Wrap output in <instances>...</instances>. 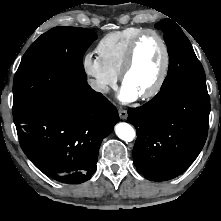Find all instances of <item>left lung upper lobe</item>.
<instances>
[{
    "mask_svg": "<svg viewBox=\"0 0 221 221\" xmlns=\"http://www.w3.org/2000/svg\"><path fill=\"white\" fill-rule=\"evenodd\" d=\"M164 32L169 53V69L161 89L172 84H186L206 88V77L192 45L181 28L165 19L155 25Z\"/></svg>",
    "mask_w": 221,
    "mask_h": 221,
    "instance_id": "obj_1",
    "label": "left lung upper lobe"
}]
</instances>
